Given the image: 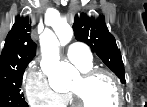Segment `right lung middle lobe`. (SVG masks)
I'll list each match as a JSON object with an SVG mask.
<instances>
[{"label":"right lung middle lobe","instance_id":"obj_1","mask_svg":"<svg viewBox=\"0 0 147 107\" xmlns=\"http://www.w3.org/2000/svg\"><path fill=\"white\" fill-rule=\"evenodd\" d=\"M25 68L0 75V107H29L20 93Z\"/></svg>","mask_w":147,"mask_h":107}]
</instances>
